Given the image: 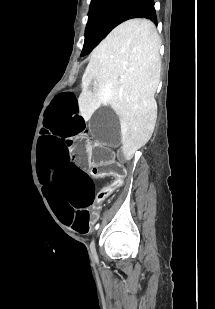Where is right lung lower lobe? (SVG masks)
Instances as JSON below:
<instances>
[{
	"label": "right lung lower lobe",
	"instance_id": "obj_1",
	"mask_svg": "<svg viewBox=\"0 0 215 309\" xmlns=\"http://www.w3.org/2000/svg\"><path fill=\"white\" fill-rule=\"evenodd\" d=\"M133 18H146L157 24L153 0H131L117 21V25Z\"/></svg>",
	"mask_w": 215,
	"mask_h": 309
}]
</instances>
